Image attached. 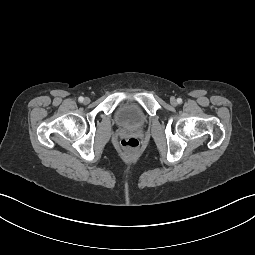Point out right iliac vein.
Returning a JSON list of instances; mask_svg holds the SVG:
<instances>
[{"label": "right iliac vein", "mask_w": 255, "mask_h": 255, "mask_svg": "<svg viewBox=\"0 0 255 255\" xmlns=\"http://www.w3.org/2000/svg\"><path fill=\"white\" fill-rule=\"evenodd\" d=\"M90 102V99L88 98V97H86L85 99H84V103L85 104H88Z\"/></svg>", "instance_id": "right-iliac-vein-1"}]
</instances>
